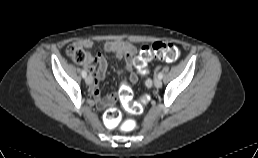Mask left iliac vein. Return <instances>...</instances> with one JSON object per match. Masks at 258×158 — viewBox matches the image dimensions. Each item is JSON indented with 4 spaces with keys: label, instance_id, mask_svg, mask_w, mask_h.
Here are the masks:
<instances>
[{
    "label": "left iliac vein",
    "instance_id": "left-iliac-vein-1",
    "mask_svg": "<svg viewBox=\"0 0 258 158\" xmlns=\"http://www.w3.org/2000/svg\"><path fill=\"white\" fill-rule=\"evenodd\" d=\"M154 85L156 88H160L162 86V81L159 78H156L154 81Z\"/></svg>",
    "mask_w": 258,
    "mask_h": 158
}]
</instances>
